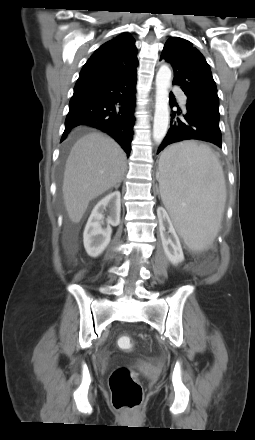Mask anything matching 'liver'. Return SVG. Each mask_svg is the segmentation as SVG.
<instances>
[{
  "instance_id": "obj_1",
  "label": "liver",
  "mask_w": 255,
  "mask_h": 440,
  "mask_svg": "<svg viewBox=\"0 0 255 440\" xmlns=\"http://www.w3.org/2000/svg\"><path fill=\"white\" fill-rule=\"evenodd\" d=\"M126 154L112 138L99 132L81 137L66 161L63 199L69 219L79 223L89 202L122 181ZM162 163L167 165L164 158Z\"/></svg>"
}]
</instances>
